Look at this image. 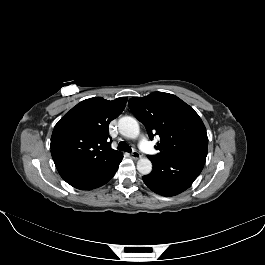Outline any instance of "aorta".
Masks as SVG:
<instances>
[{
    "label": "aorta",
    "instance_id": "1",
    "mask_svg": "<svg viewBox=\"0 0 265 265\" xmlns=\"http://www.w3.org/2000/svg\"><path fill=\"white\" fill-rule=\"evenodd\" d=\"M119 132L124 137L135 139L140 134L137 120L130 116H124L118 121ZM137 170L142 175H147L152 171V163L148 158H140L137 162Z\"/></svg>",
    "mask_w": 265,
    "mask_h": 265
}]
</instances>
